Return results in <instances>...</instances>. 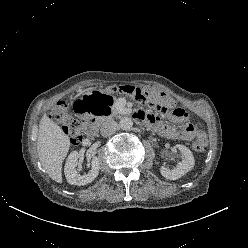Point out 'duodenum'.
I'll return each instance as SVG.
<instances>
[{"mask_svg": "<svg viewBox=\"0 0 248 248\" xmlns=\"http://www.w3.org/2000/svg\"><path fill=\"white\" fill-rule=\"evenodd\" d=\"M132 116L136 120H143V116L140 112H133ZM101 119L96 118L93 116V118L87 123L85 132L88 137H93L97 131L98 125L101 122Z\"/></svg>", "mask_w": 248, "mask_h": 248, "instance_id": "1", "label": "duodenum"}]
</instances>
